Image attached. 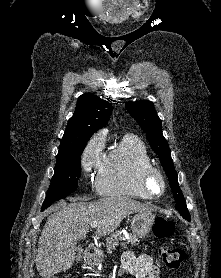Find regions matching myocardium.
Returning a JSON list of instances; mask_svg holds the SVG:
<instances>
[{"label": "myocardium", "mask_w": 221, "mask_h": 278, "mask_svg": "<svg viewBox=\"0 0 221 278\" xmlns=\"http://www.w3.org/2000/svg\"><path fill=\"white\" fill-rule=\"evenodd\" d=\"M137 182L140 189L145 193L146 197L156 199L161 197L166 188V183L162 172L152 164L139 168L137 172ZM158 185L155 190L154 185Z\"/></svg>", "instance_id": "myocardium-1"}]
</instances>
